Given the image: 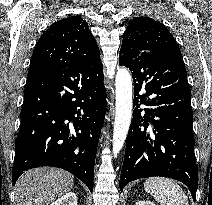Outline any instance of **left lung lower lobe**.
Returning a JSON list of instances; mask_svg holds the SVG:
<instances>
[{
	"label": "left lung lower lobe",
	"instance_id": "1",
	"mask_svg": "<svg viewBox=\"0 0 212 205\" xmlns=\"http://www.w3.org/2000/svg\"><path fill=\"white\" fill-rule=\"evenodd\" d=\"M119 64L129 67L134 81L133 118L120 190L130 181L162 176L184 183L195 200L198 172L193 113L181 56L147 51Z\"/></svg>",
	"mask_w": 212,
	"mask_h": 205
}]
</instances>
